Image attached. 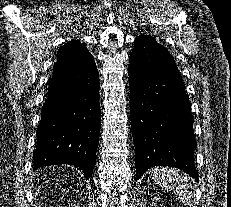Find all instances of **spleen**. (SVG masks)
Masks as SVG:
<instances>
[{
    "instance_id": "obj_1",
    "label": "spleen",
    "mask_w": 231,
    "mask_h": 207,
    "mask_svg": "<svg viewBox=\"0 0 231 207\" xmlns=\"http://www.w3.org/2000/svg\"><path fill=\"white\" fill-rule=\"evenodd\" d=\"M149 175L156 184L173 192L185 205L193 202L194 194L189 181L178 170L166 167L153 168L149 171Z\"/></svg>"
}]
</instances>
